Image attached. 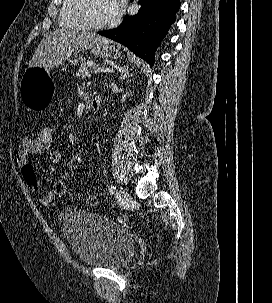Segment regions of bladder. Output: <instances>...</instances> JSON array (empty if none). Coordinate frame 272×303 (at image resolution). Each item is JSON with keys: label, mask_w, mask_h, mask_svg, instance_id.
<instances>
[{"label": "bladder", "mask_w": 272, "mask_h": 303, "mask_svg": "<svg viewBox=\"0 0 272 303\" xmlns=\"http://www.w3.org/2000/svg\"><path fill=\"white\" fill-rule=\"evenodd\" d=\"M59 226L74 254L87 266L121 268L135 253L133 236L105 216L66 208L59 215Z\"/></svg>", "instance_id": "bladder-1"}]
</instances>
